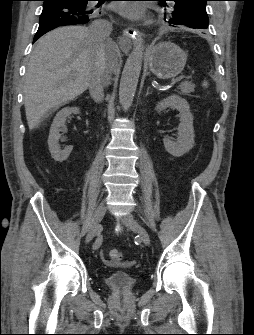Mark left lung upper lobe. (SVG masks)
<instances>
[{"label":"left lung upper lobe","mask_w":254,"mask_h":335,"mask_svg":"<svg viewBox=\"0 0 254 335\" xmlns=\"http://www.w3.org/2000/svg\"><path fill=\"white\" fill-rule=\"evenodd\" d=\"M165 7L170 26L208 28L206 2L209 0H158Z\"/></svg>","instance_id":"5c2ea615"}]
</instances>
